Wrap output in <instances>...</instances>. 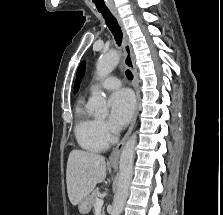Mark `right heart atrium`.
<instances>
[{"label": "right heart atrium", "mask_w": 223, "mask_h": 215, "mask_svg": "<svg viewBox=\"0 0 223 215\" xmlns=\"http://www.w3.org/2000/svg\"><path fill=\"white\" fill-rule=\"evenodd\" d=\"M98 127L101 132V134L106 138L109 139L111 138L114 134L108 125V123L104 120H98Z\"/></svg>", "instance_id": "d8ad5b80"}]
</instances>
